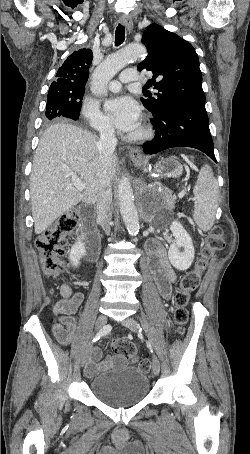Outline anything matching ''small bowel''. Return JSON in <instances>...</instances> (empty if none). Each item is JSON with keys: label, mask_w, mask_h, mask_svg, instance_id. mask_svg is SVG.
<instances>
[{"label": "small bowel", "mask_w": 250, "mask_h": 454, "mask_svg": "<svg viewBox=\"0 0 250 454\" xmlns=\"http://www.w3.org/2000/svg\"><path fill=\"white\" fill-rule=\"evenodd\" d=\"M150 268L160 295L168 298L172 286L177 280V273L168 260L165 247L158 242H151L148 245ZM61 300L53 308L54 323L52 331L59 343L69 345L73 342L77 327L72 316L81 307L84 296L81 292L73 293L68 285L60 289ZM101 351H91L84 367V373L88 377L95 376L99 371L108 368L113 359L108 357L100 360Z\"/></svg>", "instance_id": "1"}]
</instances>
